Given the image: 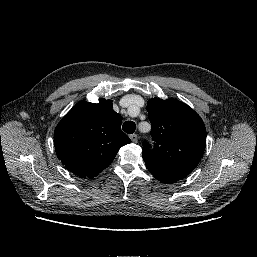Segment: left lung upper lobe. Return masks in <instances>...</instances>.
I'll return each instance as SVG.
<instances>
[{
  "label": "left lung upper lobe",
  "instance_id": "obj_1",
  "mask_svg": "<svg viewBox=\"0 0 257 257\" xmlns=\"http://www.w3.org/2000/svg\"><path fill=\"white\" fill-rule=\"evenodd\" d=\"M154 148L143 142L148 170L184 178L201 160L206 128L200 116L179 100L151 98L147 103Z\"/></svg>",
  "mask_w": 257,
  "mask_h": 257
}]
</instances>
